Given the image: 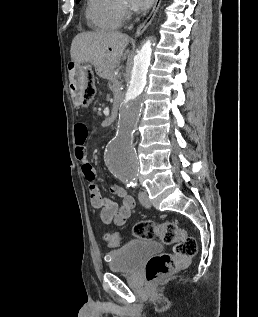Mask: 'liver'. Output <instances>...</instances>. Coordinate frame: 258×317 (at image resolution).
I'll list each match as a JSON object with an SVG mask.
<instances>
[{
    "label": "liver",
    "instance_id": "1",
    "mask_svg": "<svg viewBox=\"0 0 258 317\" xmlns=\"http://www.w3.org/2000/svg\"><path fill=\"white\" fill-rule=\"evenodd\" d=\"M128 42V34L118 30L79 32L72 40L70 54L73 62H91L99 70L111 72L118 66Z\"/></svg>",
    "mask_w": 258,
    "mask_h": 317
}]
</instances>
